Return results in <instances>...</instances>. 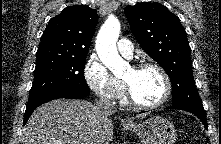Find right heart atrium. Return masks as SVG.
<instances>
[{
  "instance_id": "obj_1",
  "label": "right heart atrium",
  "mask_w": 221,
  "mask_h": 144,
  "mask_svg": "<svg viewBox=\"0 0 221 144\" xmlns=\"http://www.w3.org/2000/svg\"><path fill=\"white\" fill-rule=\"evenodd\" d=\"M84 79L88 87L106 101L118 100L125 90L123 82L113 76L95 55H92L84 66Z\"/></svg>"
}]
</instances>
